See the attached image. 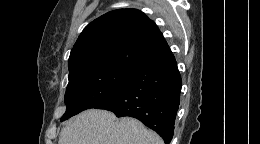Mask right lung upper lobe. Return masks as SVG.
<instances>
[{
	"label": "right lung upper lobe",
	"mask_w": 260,
	"mask_h": 144,
	"mask_svg": "<svg viewBox=\"0 0 260 144\" xmlns=\"http://www.w3.org/2000/svg\"><path fill=\"white\" fill-rule=\"evenodd\" d=\"M171 54L156 24L136 9H118L89 23L69 57L70 74L95 65L136 70Z\"/></svg>",
	"instance_id": "obj_1"
}]
</instances>
